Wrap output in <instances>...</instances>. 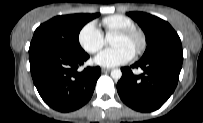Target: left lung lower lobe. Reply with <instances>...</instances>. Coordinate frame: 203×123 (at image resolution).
<instances>
[{"instance_id": "obj_1", "label": "left lung lower lobe", "mask_w": 203, "mask_h": 123, "mask_svg": "<svg viewBox=\"0 0 203 123\" xmlns=\"http://www.w3.org/2000/svg\"><path fill=\"white\" fill-rule=\"evenodd\" d=\"M183 62L182 49H173L141 58L130 67H123L117 83L121 100L140 112L160 108L174 92ZM132 68H141L144 73L135 75Z\"/></svg>"}]
</instances>
